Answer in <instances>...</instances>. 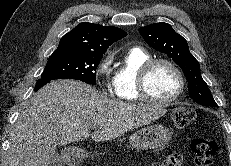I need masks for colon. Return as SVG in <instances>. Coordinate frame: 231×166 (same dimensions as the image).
<instances>
[{
  "label": "colon",
  "mask_w": 231,
  "mask_h": 166,
  "mask_svg": "<svg viewBox=\"0 0 231 166\" xmlns=\"http://www.w3.org/2000/svg\"><path fill=\"white\" fill-rule=\"evenodd\" d=\"M197 112L190 107H176L172 111V117L177 127L185 128L196 118ZM194 166H212L217 146L213 139L208 136H197L191 141ZM182 156L179 154L169 155L157 166H182ZM53 166H61L55 164Z\"/></svg>",
  "instance_id": "obj_1"
}]
</instances>
